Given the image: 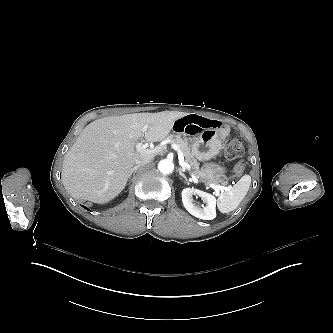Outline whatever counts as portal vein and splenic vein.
Listing matches in <instances>:
<instances>
[{
    "mask_svg": "<svg viewBox=\"0 0 333 333\" xmlns=\"http://www.w3.org/2000/svg\"><path fill=\"white\" fill-rule=\"evenodd\" d=\"M148 129V126H144V131L146 132ZM136 148L139 152H144V149L146 148V145L144 144V139L142 138L139 143H137ZM173 148L176 149V146L173 145ZM151 156H155L159 153V148L155 147L152 148L150 151ZM178 164L185 169H189L190 165L185 161L184 155L182 153H179L178 155ZM194 183L198 184L199 180L196 176H193ZM207 186L215 191V194L218 195L220 192H224L228 189V187L220 185L219 183L210 182L207 184Z\"/></svg>",
    "mask_w": 333,
    "mask_h": 333,
    "instance_id": "1",
    "label": "portal vein and splenic vein"
}]
</instances>
